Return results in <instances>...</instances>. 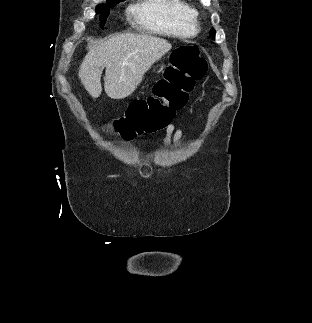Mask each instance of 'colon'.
<instances>
[{
	"mask_svg": "<svg viewBox=\"0 0 312 323\" xmlns=\"http://www.w3.org/2000/svg\"><path fill=\"white\" fill-rule=\"evenodd\" d=\"M207 71V64L195 46L173 50L164 78L155 85L156 95L131 102L125 115L111 129L122 139L163 130L174 121V111L182 108L194 86Z\"/></svg>",
	"mask_w": 312,
	"mask_h": 323,
	"instance_id": "colon-1",
	"label": "colon"
}]
</instances>
